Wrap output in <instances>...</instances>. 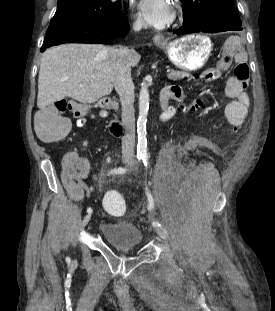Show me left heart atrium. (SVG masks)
I'll use <instances>...</instances> for the list:
<instances>
[{
	"mask_svg": "<svg viewBox=\"0 0 275 311\" xmlns=\"http://www.w3.org/2000/svg\"><path fill=\"white\" fill-rule=\"evenodd\" d=\"M137 6L144 21L156 28L167 26L173 19L170 0H139Z\"/></svg>",
	"mask_w": 275,
	"mask_h": 311,
	"instance_id": "39dd6f15",
	"label": "left heart atrium"
}]
</instances>
